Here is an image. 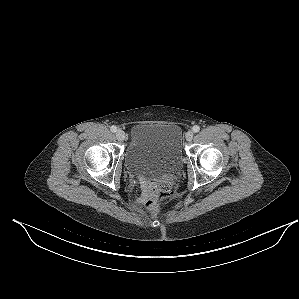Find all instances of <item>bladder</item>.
Instances as JSON below:
<instances>
[{"label": "bladder", "mask_w": 299, "mask_h": 299, "mask_svg": "<svg viewBox=\"0 0 299 299\" xmlns=\"http://www.w3.org/2000/svg\"><path fill=\"white\" fill-rule=\"evenodd\" d=\"M125 164L131 172L150 178L177 172L182 164L180 127L169 123L136 125L132 129Z\"/></svg>", "instance_id": "bladder-1"}]
</instances>
